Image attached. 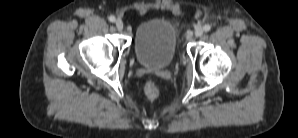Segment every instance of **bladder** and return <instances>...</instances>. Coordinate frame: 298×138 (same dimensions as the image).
<instances>
[{
    "mask_svg": "<svg viewBox=\"0 0 298 138\" xmlns=\"http://www.w3.org/2000/svg\"><path fill=\"white\" fill-rule=\"evenodd\" d=\"M178 31L168 19L153 18L139 24L133 37L137 61L146 67L165 68L173 61Z\"/></svg>",
    "mask_w": 298,
    "mask_h": 138,
    "instance_id": "bladder-1",
    "label": "bladder"
}]
</instances>
